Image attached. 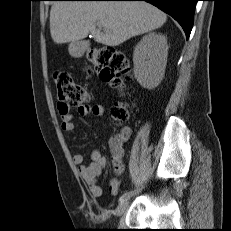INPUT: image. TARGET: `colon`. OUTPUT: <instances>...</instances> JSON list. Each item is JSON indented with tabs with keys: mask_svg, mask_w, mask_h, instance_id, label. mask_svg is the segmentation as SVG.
Masks as SVG:
<instances>
[{
	"mask_svg": "<svg viewBox=\"0 0 231 231\" xmlns=\"http://www.w3.org/2000/svg\"><path fill=\"white\" fill-rule=\"evenodd\" d=\"M88 58L94 67H88L87 72H98L104 82L109 83L122 94L124 82L130 70L126 55L114 47L103 46L92 48L88 53ZM54 81L62 113H67L70 108L80 107L88 101L89 96L85 88L75 82L68 72H55ZM111 116L115 123L124 121L128 117L126 107L123 104L115 105L111 110Z\"/></svg>",
	"mask_w": 231,
	"mask_h": 231,
	"instance_id": "obj_1",
	"label": "colon"
}]
</instances>
